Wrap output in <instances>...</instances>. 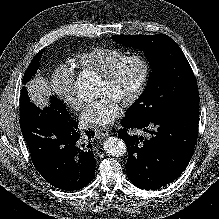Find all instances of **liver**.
Instances as JSON below:
<instances>
[{
  "label": "liver",
  "mask_w": 219,
  "mask_h": 219,
  "mask_svg": "<svg viewBox=\"0 0 219 219\" xmlns=\"http://www.w3.org/2000/svg\"><path fill=\"white\" fill-rule=\"evenodd\" d=\"M30 100L39 108H44L49 104L51 88L46 79L38 74L33 80L26 84Z\"/></svg>",
  "instance_id": "liver-1"
}]
</instances>
